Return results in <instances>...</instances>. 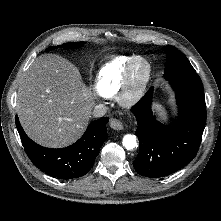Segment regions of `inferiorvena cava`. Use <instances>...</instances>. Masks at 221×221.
I'll return each mask as SVG.
<instances>
[{
  "instance_id": "1",
  "label": "inferior vena cava",
  "mask_w": 221,
  "mask_h": 221,
  "mask_svg": "<svg viewBox=\"0 0 221 221\" xmlns=\"http://www.w3.org/2000/svg\"><path fill=\"white\" fill-rule=\"evenodd\" d=\"M107 112V107L104 104H98L94 107V110L92 112V115L94 117H102L106 114Z\"/></svg>"
}]
</instances>
